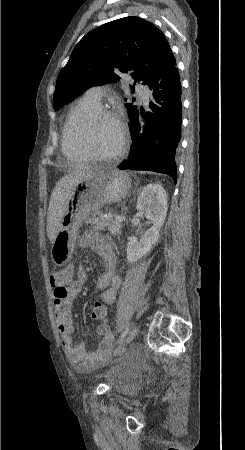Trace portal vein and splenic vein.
Segmentation results:
<instances>
[{"mask_svg":"<svg viewBox=\"0 0 245 450\" xmlns=\"http://www.w3.org/2000/svg\"><path fill=\"white\" fill-rule=\"evenodd\" d=\"M117 221L123 222L125 220L124 216L115 215L114 216Z\"/></svg>","mask_w":245,"mask_h":450,"instance_id":"obj_1","label":"portal vein and splenic vein"}]
</instances>
